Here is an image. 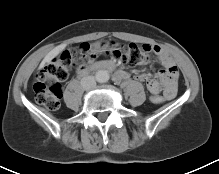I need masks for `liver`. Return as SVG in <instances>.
<instances>
[{"mask_svg": "<svg viewBox=\"0 0 219 174\" xmlns=\"http://www.w3.org/2000/svg\"><path fill=\"white\" fill-rule=\"evenodd\" d=\"M65 48V45H60L55 47L52 51H50L46 57L44 58V60L42 61L40 67H43L44 64L46 62H49L54 56L58 55L60 53L61 50H63Z\"/></svg>", "mask_w": 219, "mask_h": 174, "instance_id": "6515ba94", "label": "liver"}]
</instances>
